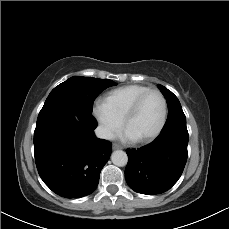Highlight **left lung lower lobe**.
I'll return each mask as SVG.
<instances>
[{
	"instance_id": "1",
	"label": "left lung lower lobe",
	"mask_w": 229,
	"mask_h": 229,
	"mask_svg": "<svg viewBox=\"0 0 229 229\" xmlns=\"http://www.w3.org/2000/svg\"><path fill=\"white\" fill-rule=\"evenodd\" d=\"M188 138L187 127L181 124L162 131L155 141L144 147L127 149L125 179L128 186L147 195L169 190L184 170Z\"/></svg>"
}]
</instances>
